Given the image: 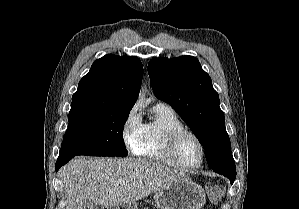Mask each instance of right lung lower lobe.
<instances>
[{
	"mask_svg": "<svg viewBox=\"0 0 299 209\" xmlns=\"http://www.w3.org/2000/svg\"><path fill=\"white\" fill-rule=\"evenodd\" d=\"M75 155H59L56 161V171L59 170L61 166L66 164L70 159H72Z\"/></svg>",
	"mask_w": 299,
	"mask_h": 209,
	"instance_id": "98d812e1",
	"label": "right lung lower lobe"
}]
</instances>
